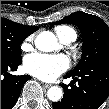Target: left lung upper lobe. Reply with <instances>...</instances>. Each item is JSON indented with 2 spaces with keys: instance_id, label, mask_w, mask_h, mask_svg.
Segmentation results:
<instances>
[{
  "instance_id": "left-lung-upper-lobe-1",
  "label": "left lung upper lobe",
  "mask_w": 109,
  "mask_h": 109,
  "mask_svg": "<svg viewBox=\"0 0 109 109\" xmlns=\"http://www.w3.org/2000/svg\"><path fill=\"white\" fill-rule=\"evenodd\" d=\"M57 23L73 24L79 28L83 36L80 62L70 73H78L96 62L109 61V27L101 18L84 12H75Z\"/></svg>"
}]
</instances>
